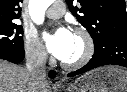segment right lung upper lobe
Instances as JSON below:
<instances>
[{
    "label": "right lung upper lobe",
    "instance_id": "obj_1",
    "mask_svg": "<svg viewBox=\"0 0 127 92\" xmlns=\"http://www.w3.org/2000/svg\"><path fill=\"white\" fill-rule=\"evenodd\" d=\"M23 0H0V24L14 23L21 15Z\"/></svg>",
    "mask_w": 127,
    "mask_h": 92
}]
</instances>
